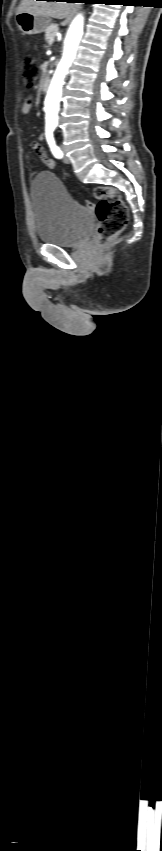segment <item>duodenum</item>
<instances>
[{"instance_id":"410a0bca","label":"duodenum","mask_w":162,"mask_h":851,"mask_svg":"<svg viewBox=\"0 0 162 851\" xmlns=\"http://www.w3.org/2000/svg\"><path fill=\"white\" fill-rule=\"evenodd\" d=\"M40 86L42 91L46 92L50 86V78L48 76H44L41 80Z\"/></svg>"}]
</instances>
